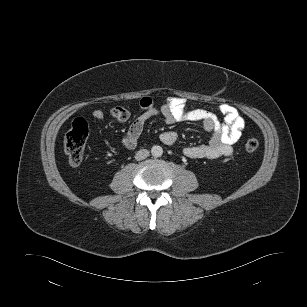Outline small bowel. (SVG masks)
<instances>
[{
    "label": "small bowel",
    "mask_w": 307,
    "mask_h": 307,
    "mask_svg": "<svg viewBox=\"0 0 307 307\" xmlns=\"http://www.w3.org/2000/svg\"><path fill=\"white\" fill-rule=\"evenodd\" d=\"M142 114L138 116L129 126L123 138V146L132 150L137 146L138 139L145 124L155 116H162L167 124L190 121L200 122L204 129L211 134L207 144L185 147L183 153L191 159H217L229 157L233 154V144L241 137L245 127L243 117L236 108L228 104L219 107L220 113L224 116L221 122L217 116L205 109H187L186 100L181 97H169L156 108L150 97H143L139 102ZM111 115L119 122H126L130 118V112L125 107H114ZM104 113L97 109L92 112V118L102 120ZM160 140L167 146H173L178 141V136L173 131H167L160 135Z\"/></svg>",
    "instance_id": "c3829d8e"
}]
</instances>
